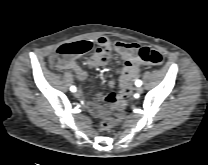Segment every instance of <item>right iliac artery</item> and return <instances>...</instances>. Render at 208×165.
Segmentation results:
<instances>
[{
    "label": "right iliac artery",
    "instance_id": "right-iliac-artery-1",
    "mask_svg": "<svg viewBox=\"0 0 208 165\" xmlns=\"http://www.w3.org/2000/svg\"><path fill=\"white\" fill-rule=\"evenodd\" d=\"M70 90H71L72 92H75V91H76V87H75V86H72V87L70 88Z\"/></svg>",
    "mask_w": 208,
    "mask_h": 165
}]
</instances>
